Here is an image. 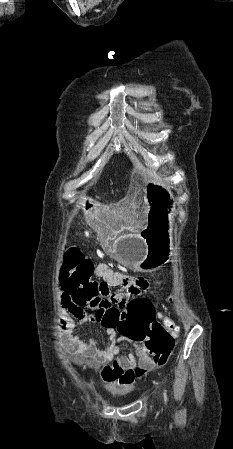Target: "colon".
Segmentation results:
<instances>
[{
  "mask_svg": "<svg viewBox=\"0 0 233 449\" xmlns=\"http://www.w3.org/2000/svg\"><path fill=\"white\" fill-rule=\"evenodd\" d=\"M61 278L73 304L93 314L99 328H117L122 338L134 343L135 349H149L154 355L170 354L177 330L171 333L165 331L147 301H127L123 308L117 305L110 308L98 306L99 297L96 294L99 292V281L95 276V267L80 249H67Z\"/></svg>",
  "mask_w": 233,
  "mask_h": 449,
  "instance_id": "obj_1",
  "label": "colon"
}]
</instances>
